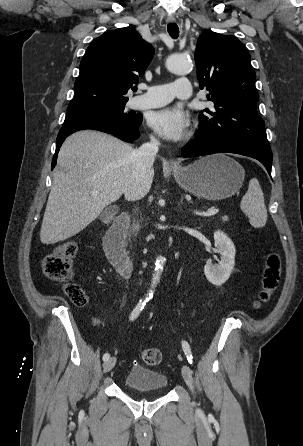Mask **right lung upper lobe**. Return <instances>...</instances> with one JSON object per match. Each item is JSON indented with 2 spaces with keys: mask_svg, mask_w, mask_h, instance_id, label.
Returning a JSON list of instances; mask_svg holds the SVG:
<instances>
[{
  "mask_svg": "<svg viewBox=\"0 0 303 446\" xmlns=\"http://www.w3.org/2000/svg\"><path fill=\"white\" fill-rule=\"evenodd\" d=\"M153 55V46L129 27L105 32L90 44L81 60L75 96L67 110L127 102L129 88L138 82Z\"/></svg>",
  "mask_w": 303,
  "mask_h": 446,
  "instance_id": "1",
  "label": "right lung upper lobe"
}]
</instances>
